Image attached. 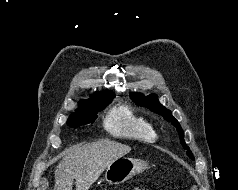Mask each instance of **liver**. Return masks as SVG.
Segmentation results:
<instances>
[{
	"label": "liver",
	"instance_id": "1",
	"mask_svg": "<svg viewBox=\"0 0 238 190\" xmlns=\"http://www.w3.org/2000/svg\"><path fill=\"white\" fill-rule=\"evenodd\" d=\"M131 151V147L109 139L75 146L67 150L55 171L54 190H88L114 161Z\"/></svg>",
	"mask_w": 238,
	"mask_h": 190
}]
</instances>
